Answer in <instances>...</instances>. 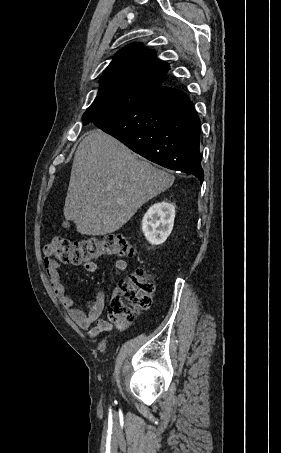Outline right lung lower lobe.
<instances>
[{
  "label": "right lung lower lobe",
  "mask_w": 281,
  "mask_h": 453,
  "mask_svg": "<svg viewBox=\"0 0 281 453\" xmlns=\"http://www.w3.org/2000/svg\"><path fill=\"white\" fill-rule=\"evenodd\" d=\"M89 121L146 159L203 182L200 120L184 93L161 85L129 101L92 108L84 114Z\"/></svg>",
  "instance_id": "98d812e1"
}]
</instances>
